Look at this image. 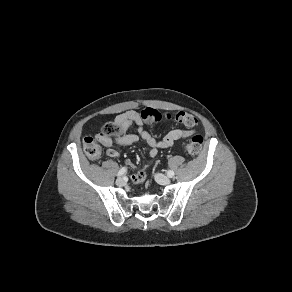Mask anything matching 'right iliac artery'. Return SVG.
Returning <instances> with one entry per match:
<instances>
[{
  "label": "right iliac artery",
  "mask_w": 292,
  "mask_h": 292,
  "mask_svg": "<svg viewBox=\"0 0 292 292\" xmlns=\"http://www.w3.org/2000/svg\"><path fill=\"white\" fill-rule=\"evenodd\" d=\"M125 173H126V168L123 167V168H121V169L118 171L117 176H118V177H121V176H123Z\"/></svg>",
  "instance_id": "obj_1"
}]
</instances>
